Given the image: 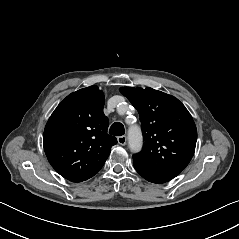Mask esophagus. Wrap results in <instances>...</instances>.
Here are the masks:
<instances>
[{
  "label": "esophagus",
  "mask_w": 239,
  "mask_h": 239,
  "mask_svg": "<svg viewBox=\"0 0 239 239\" xmlns=\"http://www.w3.org/2000/svg\"><path fill=\"white\" fill-rule=\"evenodd\" d=\"M117 141H118V143L120 144V145H126V142H127V138H126V136H119L118 138H117Z\"/></svg>",
  "instance_id": "34e87169"
}]
</instances>
